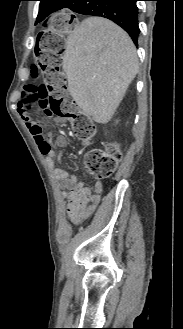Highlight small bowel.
Returning <instances> with one entry per match:
<instances>
[{
  "label": "small bowel",
  "instance_id": "c3829d8e",
  "mask_svg": "<svg viewBox=\"0 0 183 329\" xmlns=\"http://www.w3.org/2000/svg\"><path fill=\"white\" fill-rule=\"evenodd\" d=\"M20 117L37 144L39 151L45 156L46 162L48 164H52L56 157L55 149L61 148L66 144V136H58L54 142H51L44 136L41 126L30 114H20ZM43 139H47L50 143V149L46 153H43L40 149L41 141ZM60 174L67 177L70 181L72 185L71 191H77L81 196L80 203H76L71 200L68 203L67 211L70 220L74 223L85 220L96 210L99 205L103 189L102 184L100 182H96L92 192L84 186V182L81 181L76 175L68 176L65 172H60Z\"/></svg>",
  "mask_w": 183,
  "mask_h": 329
}]
</instances>
